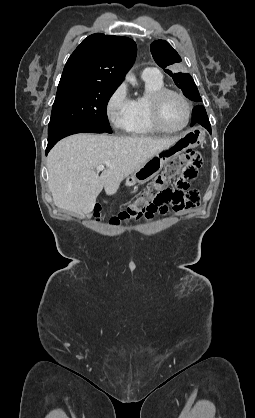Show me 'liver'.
<instances>
[{
  "label": "liver",
  "instance_id": "liver-1",
  "mask_svg": "<svg viewBox=\"0 0 255 418\" xmlns=\"http://www.w3.org/2000/svg\"><path fill=\"white\" fill-rule=\"evenodd\" d=\"M178 139L76 134L61 140L47 159L54 204L89 214L103 188L107 195L115 194L125 178ZM98 165H106L100 176Z\"/></svg>",
  "mask_w": 255,
  "mask_h": 418
}]
</instances>
